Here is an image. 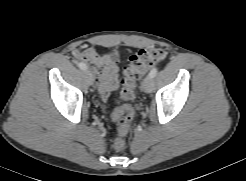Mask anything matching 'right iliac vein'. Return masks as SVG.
Segmentation results:
<instances>
[{"label": "right iliac vein", "mask_w": 246, "mask_h": 181, "mask_svg": "<svg viewBox=\"0 0 246 181\" xmlns=\"http://www.w3.org/2000/svg\"><path fill=\"white\" fill-rule=\"evenodd\" d=\"M84 73H85L86 77L88 78L89 83L92 84V82H93V75H92V73L89 70H85Z\"/></svg>", "instance_id": "1"}]
</instances>
